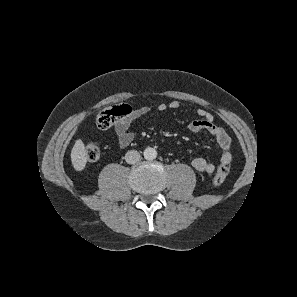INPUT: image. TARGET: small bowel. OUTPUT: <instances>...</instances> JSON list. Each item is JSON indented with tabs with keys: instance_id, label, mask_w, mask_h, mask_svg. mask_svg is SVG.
Masks as SVG:
<instances>
[{
	"instance_id": "c3829d8e",
	"label": "small bowel",
	"mask_w": 297,
	"mask_h": 297,
	"mask_svg": "<svg viewBox=\"0 0 297 297\" xmlns=\"http://www.w3.org/2000/svg\"><path fill=\"white\" fill-rule=\"evenodd\" d=\"M181 103L177 100L170 102L169 104H159L157 106L158 111H165L166 109H178ZM150 112L148 106H142L132 109L131 113L119 119L114 124V132L117 137V142L120 147L125 148L129 146L134 140V133L130 131V126L133 121L142 118ZM199 116L198 119L192 120L188 124V128L192 132L207 131L209 132L217 141L220 149V163H230L232 156L230 153V137L226 131L214 123V118L210 112L205 109L199 108L197 110ZM192 166L198 172L212 174L215 171V165L212 162L207 161L202 157H196L192 160Z\"/></svg>"
}]
</instances>
